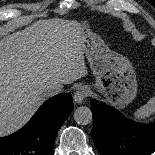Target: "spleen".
Returning <instances> with one entry per match:
<instances>
[{
  "label": "spleen",
  "instance_id": "3e777b00",
  "mask_svg": "<svg viewBox=\"0 0 155 155\" xmlns=\"http://www.w3.org/2000/svg\"><path fill=\"white\" fill-rule=\"evenodd\" d=\"M155 113V96L152 97L147 104L141 106L134 112L133 117L137 120H145Z\"/></svg>",
  "mask_w": 155,
  "mask_h": 155
}]
</instances>
